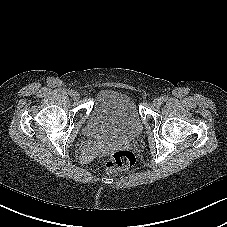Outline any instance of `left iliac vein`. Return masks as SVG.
<instances>
[{"mask_svg":"<svg viewBox=\"0 0 227 227\" xmlns=\"http://www.w3.org/2000/svg\"><path fill=\"white\" fill-rule=\"evenodd\" d=\"M161 104H162V101H161L160 98H155V99L153 100V105H154L155 107H159V106H161Z\"/></svg>","mask_w":227,"mask_h":227,"instance_id":"4c4485c4","label":"left iliac vein"}]
</instances>
